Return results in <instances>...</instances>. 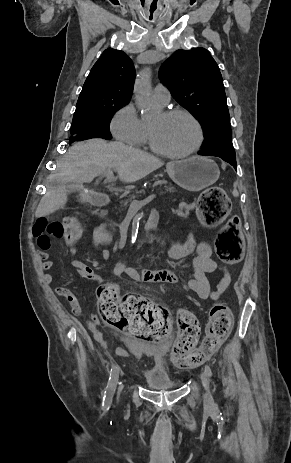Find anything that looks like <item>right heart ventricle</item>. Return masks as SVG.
I'll return each mask as SVG.
<instances>
[{
    "label": "right heart ventricle",
    "instance_id": "right-heart-ventricle-1",
    "mask_svg": "<svg viewBox=\"0 0 291 463\" xmlns=\"http://www.w3.org/2000/svg\"><path fill=\"white\" fill-rule=\"evenodd\" d=\"M145 126V129H146V136H145V139H144V142L148 140V127L146 124H144Z\"/></svg>",
    "mask_w": 291,
    "mask_h": 463
}]
</instances>
